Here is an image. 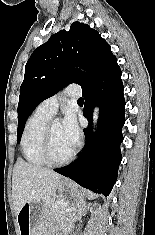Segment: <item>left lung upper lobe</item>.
I'll list each match as a JSON object with an SVG mask.
<instances>
[{
    "mask_svg": "<svg viewBox=\"0 0 155 235\" xmlns=\"http://www.w3.org/2000/svg\"><path fill=\"white\" fill-rule=\"evenodd\" d=\"M116 57L110 45L89 25L74 22L70 30H61L39 46L25 66L18 103L17 142L29 115L45 99L70 83L82 89L94 84ZM79 65L87 73L74 69Z\"/></svg>",
    "mask_w": 155,
    "mask_h": 235,
    "instance_id": "left-lung-upper-lobe-1",
    "label": "left lung upper lobe"
}]
</instances>
